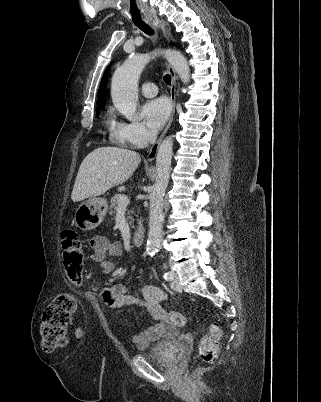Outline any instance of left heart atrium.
I'll return each instance as SVG.
<instances>
[{"mask_svg":"<svg viewBox=\"0 0 321 402\" xmlns=\"http://www.w3.org/2000/svg\"><path fill=\"white\" fill-rule=\"evenodd\" d=\"M170 104L165 98H157L145 103L142 113L148 128L155 132L159 130L170 114Z\"/></svg>","mask_w":321,"mask_h":402,"instance_id":"39dd6f15","label":"left heart atrium"}]
</instances>
